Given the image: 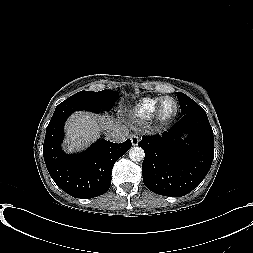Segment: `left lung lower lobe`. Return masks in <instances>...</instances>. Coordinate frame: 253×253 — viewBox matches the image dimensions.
<instances>
[{
  "label": "left lung lower lobe",
  "instance_id": "left-lung-lower-lobe-1",
  "mask_svg": "<svg viewBox=\"0 0 253 253\" xmlns=\"http://www.w3.org/2000/svg\"><path fill=\"white\" fill-rule=\"evenodd\" d=\"M183 133L188 134L186 140L180 139ZM138 145L145 152V186L164 196L181 197L196 188L214 157L213 131L205 111L184 114L168 132L143 136Z\"/></svg>",
  "mask_w": 253,
  "mask_h": 253
}]
</instances>
